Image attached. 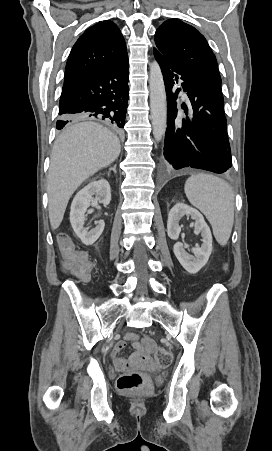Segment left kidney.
<instances>
[{
	"label": "left kidney",
	"mask_w": 272,
	"mask_h": 451,
	"mask_svg": "<svg viewBox=\"0 0 272 451\" xmlns=\"http://www.w3.org/2000/svg\"><path fill=\"white\" fill-rule=\"evenodd\" d=\"M182 216H191L192 220H195L194 233L196 235L201 233L203 243L201 247H193L191 249L194 255H190L188 251H185L182 241L174 243L173 251L186 271L197 273L207 263L212 251L210 227L207 226L202 214L197 212L195 208H190L187 204H176L168 214L167 233L171 239H178L179 237L181 231L179 220H181Z\"/></svg>",
	"instance_id": "left-kidney-1"
}]
</instances>
